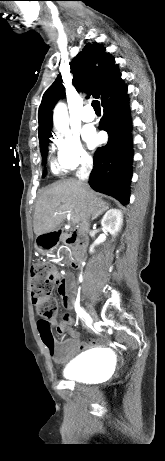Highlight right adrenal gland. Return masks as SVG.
Returning <instances> with one entry per match:
<instances>
[{
  "label": "right adrenal gland",
  "instance_id": "2a0ac1e0",
  "mask_svg": "<svg viewBox=\"0 0 165 461\" xmlns=\"http://www.w3.org/2000/svg\"><path fill=\"white\" fill-rule=\"evenodd\" d=\"M98 216H99V215L94 216V217L92 218V220H95Z\"/></svg>",
  "mask_w": 165,
  "mask_h": 461
}]
</instances>
